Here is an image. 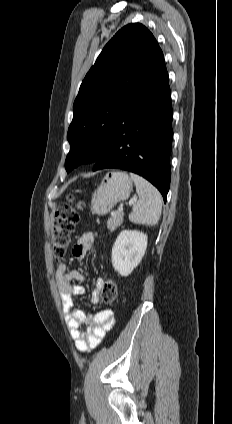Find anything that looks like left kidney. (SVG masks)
<instances>
[{"instance_id": "5707ae66", "label": "left kidney", "mask_w": 232, "mask_h": 424, "mask_svg": "<svg viewBox=\"0 0 232 424\" xmlns=\"http://www.w3.org/2000/svg\"><path fill=\"white\" fill-rule=\"evenodd\" d=\"M147 248V235L137 230H123L112 248V265L121 276H128L141 262Z\"/></svg>"}]
</instances>
